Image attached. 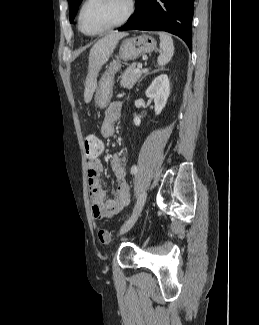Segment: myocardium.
Wrapping results in <instances>:
<instances>
[{
	"instance_id": "myocardium-1",
	"label": "myocardium",
	"mask_w": 259,
	"mask_h": 325,
	"mask_svg": "<svg viewBox=\"0 0 259 325\" xmlns=\"http://www.w3.org/2000/svg\"><path fill=\"white\" fill-rule=\"evenodd\" d=\"M91 0H85L80 9H79V13H78V27L80 29V31L82 33H84L85 35H88V36H99V35H102L104 33H107L115 28H118L120 26H122L123 24H125L130 18L131 16L133 15L134 13V10H135V2L134 0H127V10H126V13L125 15L118 21L116 22L115 24L101 30V31H98V32H88L84 29L83 27V24H82V15H83V11L85 9V7L87 6V4L90 2Z\"/></svg>"
}]
</instances>
